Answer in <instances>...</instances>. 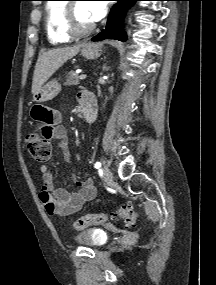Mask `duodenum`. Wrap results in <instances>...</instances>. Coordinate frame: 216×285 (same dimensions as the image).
<instances>
[{"mask_svg":"<svg viewBox=\"0 0 216 285\" xmlns=\"http://www.w3.org/2000/svg\"><path fill=\"white\" fill-rule=\"evenodd\" d=\"M82 115L85 121L93 122L97 115V108L95 103L87 102L82 106Z\"/></svg>","mask_w":216,"mask_h":285,"instance_id":"obj_1","label":"duodenum"}]
</instances>
